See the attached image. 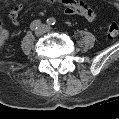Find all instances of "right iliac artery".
Here are the masks:
<instances>
[{
  "instance_id": "obj_1",
  "label": "right iliac artery",
  "mask_w": 119,
  "mask_h": 119,
  "mask_svg": "<svg viewBox=\"0 0 119 119\" xmlns=\"http://www.w3.org/2000/svg\"><path fill=\"white\" fill-rule=\"evenodd\" d=\"M41 24V20H34L31 24H30V29L31 30H36Z\"/></svg>"
}]
</instances>
